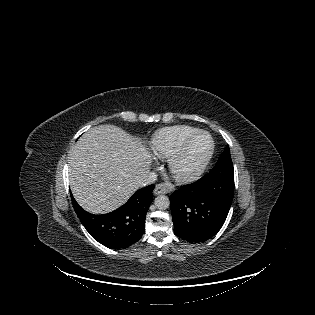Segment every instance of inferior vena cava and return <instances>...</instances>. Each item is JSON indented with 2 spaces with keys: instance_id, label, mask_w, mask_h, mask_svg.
<instances>
[{
  "instance_id": "obj_1",
  "label": "inferior vena cava",
  "mask_w": 315,
  "mask_h": 315,
  "mask_svg": "<svg viewBox=\"0 0 315 315\" xmlns=\"http://www.w3.org/2000/svg\"><path fill=\"white\" fill-rule=\"evenodd\" d=\"M157 179V175L154 172H149L147 176L142 180L141 186H146L148 184L154 183Z\"/></svg>"
}]
</instances>
